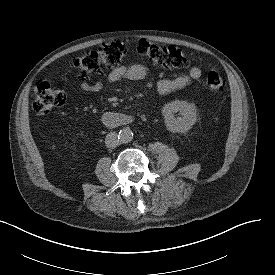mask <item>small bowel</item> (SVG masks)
<instances>
[{"label": "small bowel", "mask_w": 275, "mask_h": 275, "mask_svg": "<svg viewBox=\"0 0 275 275\" xmlns=\"http://www.w3.org/2000/svg\"><path fill=\"white\" fill-rule=\"evenodd\" d=\"M148 74V68L143 65H124L111 71L107 80L111 83L120 81L121 79L141 80ZM200 68L193 67L187 75L178 76L174 79L160 78L157 80L156 89L160 94H169L186 88L192 81L201 77ZM104 87L102 80L94 82L81 81L80 88L84 92L97 93Z\"/></svg>", "instance_id": "obj_1"}]
</instances>
